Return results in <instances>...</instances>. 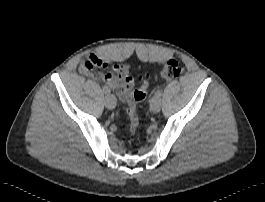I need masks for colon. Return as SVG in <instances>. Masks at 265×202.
<instances>
[{
  "mask_svg": "<svg viewBox=\"0 0 265 202\" xmlns=\"http://www.w3.org/2000/svg\"><path fill=\"white\" fill-rule=\"evenodd\" d=\"M183 72V67L179 62L175 60L168 61L162 70V77L166 80H173L178 78ZM149 87V79L144 77L140 88H138L133 94V101L128 109L129 127L131 133H135L138 130L139 119L138 111L140 104L145 100L147 95V89Z\"/></svg>",
  "mask_w": 265,
  "mask_h": 202,
  "instance_id": "5ec220e1",
  "label": "colon"
}]
</instances>
